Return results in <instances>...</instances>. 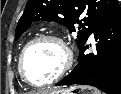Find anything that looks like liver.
<instances>
[{
  "mask_svg": "<svg viewBox=\"0 0 121 94\" xmlns=\"http://www.w3.org/2000/svg\"><path fill=\"white\" fill-rule=\"evenodd\" d=\"M49 91H41V92H37V93H34V94H50L48 93Z\"/></svg>",
  "mask_w": 121,
  "mask_h": 94,
  "instance_id": "obj_1",
  "label": "liver"
}]
</instances>
